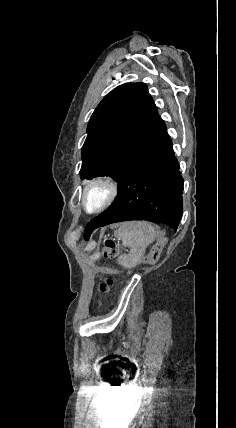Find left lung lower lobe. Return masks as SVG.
Segmentation results:
<instances>
[{
	"instance_id": "left-lung-lower-lobe-1",
	"label": "left lung lower lobe",
	"mask_w": 236,
	"mask_h": 428,
	"mask_svg": "<svg viewBox=\"0 0 236 428\" xmlns=\"http://www.w3.org/2000/svg\"><path fill=\"white\" fill-rule=\"evenodd\" d=\"M183 178L164 121L152 128L118 182L114 203L85 228L88 239L98 227L128 220L164 223L177 230L183 209Z\"/></svg>"
}]
</instances>
